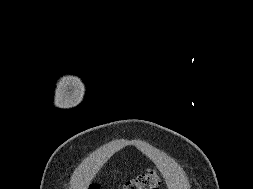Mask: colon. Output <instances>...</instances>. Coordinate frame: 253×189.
Here are the masks:
<instances>
[{
  "instance_id": "1",
  "label": "colon",
  "mask_w": 253,
  "mask_h": 189,
  "mask_svg": "<svg viewBox=\"0 0 253 189\" xmlns=\"http://www.w3.org/2000/svg\"><path fill=\"white\" fill-rule=\"evenodd\" d=\"M159 185L158 175L155 172H149L126 182L120 189H159ZM89 189H99V186L93 183Z\"/></svg>"
}]
</instances>
